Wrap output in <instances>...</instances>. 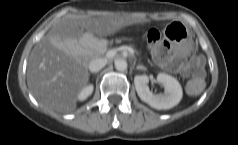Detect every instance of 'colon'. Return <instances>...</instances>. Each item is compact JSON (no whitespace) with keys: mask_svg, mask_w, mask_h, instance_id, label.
Returning <instances> with one entry per match:
<instances>
[{"mask_svg":"<svg viewBox=\"0 0 238 145\" xmlns=\"http://www.w3.org/2000/svg\"><path fill=\"white\" fill-rule=\"evenodd\" d=\"M147 39L152 49L154 59L170 71H180L191 77L187 90L198 94L204 86V61L200 57H174L169 55V43L156 29L147 32Z\"/></svg>","mask_w":238,"mask_h":145,"instance_id":"1","label":"colon"}]
</instances>
